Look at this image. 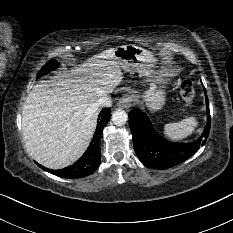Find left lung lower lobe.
I'll list each match as a JSON object with an SVG mask.
<instances>
[{"instance_id": "0a47b994", "label": "left lung lower lobe", "mask_w": 233, "mask_h": 233, "mask_svg": "<svg viewBox=\"0 0 233 233\" xmlns=\"http://www.w3.org/2000/svg\"><path fill=\"white\" fill-rule=\"evenodd\" d=\"M206 96L207 124L202 136L191 143H173L159 136L149 118L133 109L129 113V126L133 136V146L141 162L155 169H168L194 155L202 146L210 131L209 101Z\"/></svg>"}]
</instances>
